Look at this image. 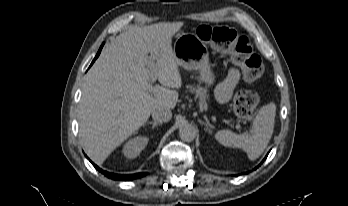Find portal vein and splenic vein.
I'll use <instances>...</instances> for the list:
<instances>
[{"mask_svg": "<svg viewBox=\"0 0 348 206\" xmlns=\"http://www.w3.org/2000/svg\"><path fill=\"white\" fill-rule=\"evenodd\" d=\"M155 81V79H152V83Z\"/></svg>", "mask_w": 348, "mask_h": 206, "instance_id": "obj_1", "label": "portal vein and splenic vein"}]
</instances>
